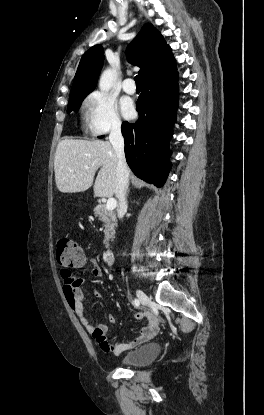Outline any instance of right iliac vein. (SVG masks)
<instances>
[{"instance_id":"1","label":"right iliac vein","mask_w":264,"mask_h":415,"mask_svg":"<svg viewBox=\"0 0 264 415\" xmlns=\"http://www.w3.org/2000/svg\"><path fill=\"white\" fill-rule=\"evenodd\" d=\"M137 297L143 305L150 303V298L140 289L137 290Z\"/></svg>"}]
</instances>
